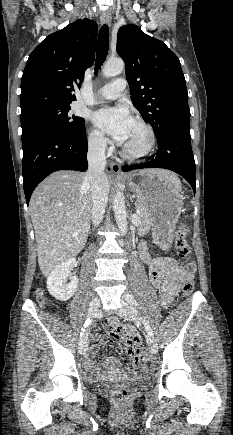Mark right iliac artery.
<instances>
[{
	"label": "right iliac artery",
	"mask_w": 233,
	"mask_h": 435,
	"mask_svg": "<svg viewBox=\"0 0 233 435\" xmlns=\"http://www.w3.org/2000/svg\"><path fill=\"white\" fill-rule=\"evenodd\" d=\"M92 321H93V319H90V318L85 321V323L83 324V327L81 329L80 336L83 335V333L85 332L86 328L92 323Z\"/></svg>",
	"instance_id": "right-iliac-artery-1"
}]
</instances>
